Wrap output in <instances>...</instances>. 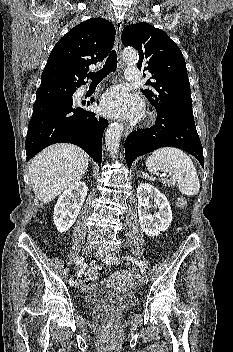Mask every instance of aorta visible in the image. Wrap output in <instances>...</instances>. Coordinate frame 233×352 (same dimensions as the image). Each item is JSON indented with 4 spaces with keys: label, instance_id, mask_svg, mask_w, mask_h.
I'll return each instance as SVG.
<instances>
[{
    "label": "aorta",
    "instance_id": "1",
    "mask_svg": "<svg viewBox=\"0 0 233 352\" xmlns=\"http://www.w3.org/2000/svg\"><path fill=\"white\" fill-rule=\"evenodd\" d=\"M122 57L127 62H137L138 53L134 49H125L122 53ZM123 133V125L121 123L111 124L105 133V143L107 149L112 154H117L119 149L120 138Z\"/></svg>",
    "mask_w": 233,
    "mask_h": 352
}]
</instances>
